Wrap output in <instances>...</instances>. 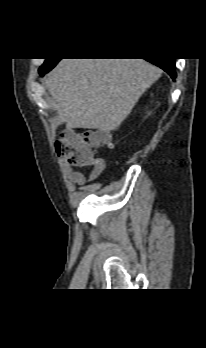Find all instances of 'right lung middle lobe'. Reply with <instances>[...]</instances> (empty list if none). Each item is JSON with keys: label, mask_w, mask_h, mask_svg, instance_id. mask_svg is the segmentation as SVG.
Here are the masks:
<instances>
[{"label": "right lung middle lobe", "mask_w": 206, "mask_h": 348, "mask_svg": "<svg viewBox=\"0 0 206 348\" xmlns=\"http://www.w3.org/2000/svg\"><path fill=\"white\" fill-rule=\"evenodd\" d=\"M59 59H46L44 64L40 67L39 71L49 68L51 66H55Z\"/></svg>", "instance_id": "obj_1"}]
</instances>
